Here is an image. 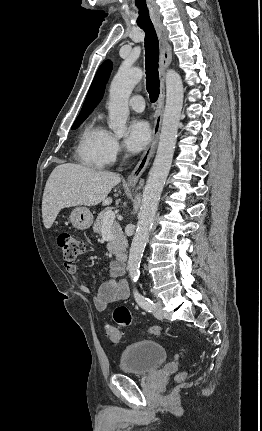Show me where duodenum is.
I'll return each instance as SVG.
<instances>
[{"instance_id": "410a0bca", "label": "duodenum", "mask_w": 262, "mask_h": 431, "mask_svg": "<svg viewBox=\"0 0 262 431\" xmlns=\"http://www.w3.org/2000/svg\"><path fill=\"white\" fill-rule=\"evenodd\" d=\"M118 261L122 264H125L127 261V254L126 253H120L118 257Z\"/></svg>"}]
</instances>
